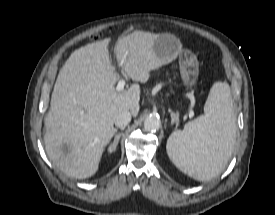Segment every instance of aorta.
<instances>
[{
  "instance_id": "obj_1",
  "label": "aorta",
  "mask_w": 275,
  "mask_h": 215,
  "mask_svg": "<svg viewBox=\"0 0 275 215\" xmlns=\"http://www.w3.org/2000/svg\"><path fill=\"white\" fill-rule=\"evenodd\" d=\"M161 122L158 116L151 115L144 120V129L148 132H156L159 130Z\"/></svg>"
}]
</instances>
